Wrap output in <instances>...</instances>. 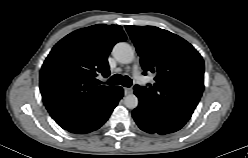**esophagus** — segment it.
Masks as SVG:
<instances>
[{
    "instance_id": "esophagus-1",
    "label": "esophagus",
    "mask_w": 248,
    "mask_h": 158,
    "mask_svg": "<svg viewBox=\"0 0 248 158\" xmlns=\"http://www.w3.org/2000/svg\"><path fill=\"white\" fill-rule=\"evenodd\" d=\"M124 95H129L132 93V89L131 88H127V87H124Z\"/></svg>"
}]
</instances>
